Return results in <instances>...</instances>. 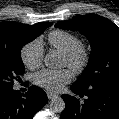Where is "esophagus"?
Instances as JSON below:
<instances>
[{
  "mask_svg": "<svg viewBox=\"0 0 119 119\" xmlns=\"http://www.w3.org/2000/svg\"><path fill=\"white\" fill-rule=\"evenodd\" d=\"M58 95H56V94H54V93H52V92H47V97H48V99H53V98H55V97H57Z\"/></svg>",
  "mask_w": 119,
  "mask_h": 119,
  "instance_id": "obj_1",
  "label": "esophagus"
}]
</instances>
